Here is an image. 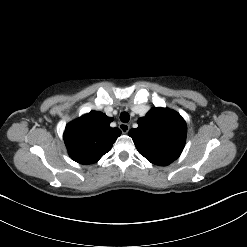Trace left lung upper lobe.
Here are the masks:
<instances>
[{
  "label": "left lung upper lobe",
  "mask_w": 247,
  "mask_h": 247,
  "mask_svg": "<svg viewBox=\"0 0 247 247\" xmlns=\"http://www.w3.org/2000/svg\"><path fill=\"white\" fill-rule=\"evenodd\" d=\"M186 132V123L179 113L167 108H152L138 120V128L131 129L129 136L149 162L167 166L182 153Z\"/></svg>",
  "instance_id": "1"
}]
</instances>
